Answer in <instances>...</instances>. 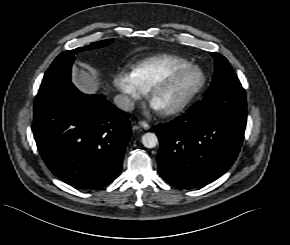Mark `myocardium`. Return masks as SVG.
<instances>
[{"label": "myocardium", "instance_id": "1", "mask_svg": "<svg viewBox=\"0 0 290 245\" xmlns=\"http://www.w3.org/2000/svg\"><path fill=\"white\" fill-rule=\"evenodd\" d=\"M189 71H195L200 75L199 82L181 101H179L172 107L162 110V113L164 115L171 116V115L178 114L182 112L183 110H185L194 101V99L200 94V92L203 90V88L206 85L207 77H206L205 72L199 66L189 64L187 66L174 69L160 76L149 87L148 97L151 99V101H153V98L155 97L156 93L160 89H162L164 86L169 84L171 81H173L177 77Z\"/></svg>", "mask_w": 290, "mask_h": 245}]
</instances>
